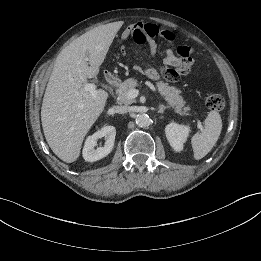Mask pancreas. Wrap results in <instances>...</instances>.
Here are the masks:
<instances>
[{
  "label": "pancreas",
  "mask_w": 261,
  "mask_h": 261,
  "mask_svg": "<svg viewBox=\"0 0 261 261\" xmlns=\"http://www.w3.org/2000/svg\"><path fill=\"white\" fill-rule=\"evenodd\" d=\"M137 80L134 78H129L122 82L117 89L118 101L122 104H132L133 99H128L126 94L129 90L134 89L137 86ZM159 94L168 102L170 107H173L176 112L182 114L184 111L182 108L185 105V101L181 96V90L177 89L174 86H169L168 83L163 81H158L156 83ZM188 108H184L187 110Z\"/></svg>",
  "instance_id": "pancreas-1"
}]
</instances>
